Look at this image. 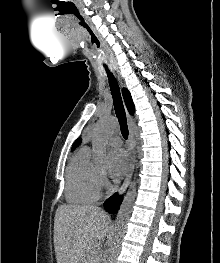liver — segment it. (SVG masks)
I'll list each match as a JSON object with an SVG mask.
<instances>
[{"instance_id": "1", "label": "liver", "mask_w": 220, "mask_h": 263, "mask_svg": "<svg viewBox=\"0 0 220 263\" xmlns=\"http://www.w3.org/2000/svg\"><path fill=\"white\" fill-rule=\"evenodd\" d=\"M110 219L98 206L61 205L54 220L57 263H93L91 250L109 231Z\"/></svg>"}]
</instances>
